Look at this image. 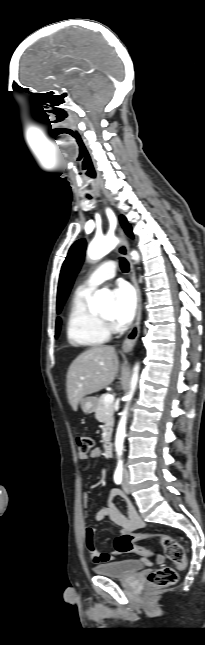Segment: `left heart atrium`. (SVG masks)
<instances>
[{"label":"left heart atrium","instance_id":"1","mask_svg":"<svg viewBox=\"0 0 205 645\" xmlns=\"http://www.w3.org/2000/svg\"><path fill=\"white\" fill-rule=\"evenodd\" d=\"M114 311L113 318L119 325H127L135 315L137 297L134 290L125 283H120L113 292Z\"/></svg>","mask_w":205,"mask_h":645}]
</instances>
